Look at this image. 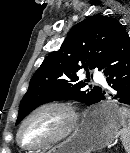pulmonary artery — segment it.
I'll return each instance as SVG.
<instances>
[{
  "mask_svg": "<svg viewBox=\"0 0 130 153\" xmlns=\"http://www.w3.org/2000/svg\"><path fill=\"white\" fill-rule=\"evenodd\" d=\"M93 79H94L95 82L100 83L102 85H105L106 84L103 75L101 73H99V72H95L93 74Z\"/></svg>",
  "mask_w": 130,
  "mask_h": 153,
  "instance_id": "obj_1",
  "label": "pulmonary artery"
}]
</instances>
